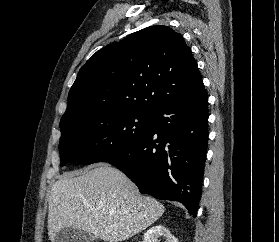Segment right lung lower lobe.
Masks as SVG:
<instances>
[{
  "instance_id": "98d812e1",
  "label": "right lung lower lobe",
  "mask_w": 279,
  "mask_h": 242,
  "mask_svg": "<svg viewBox=\"0 0 279 242\" xmlns=\"http://www.w3.org/2000/svg\"><path fill=\"white\" fill-rule=\"evenodd\" d=\"M205 88L153 113L148 133L129 148L104 158L143 194L182 203L197 215L208 142Z\"/></svg>"
}]
</instances>
